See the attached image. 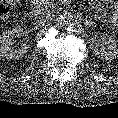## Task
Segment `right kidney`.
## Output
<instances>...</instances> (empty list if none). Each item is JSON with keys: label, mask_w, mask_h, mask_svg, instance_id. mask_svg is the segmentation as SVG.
<instances>
[{"label": "right kidney", "mask_w": 118, "mask_h": 118, "mask_svg": "<svg viewBox=\"0 0 118 118\" xmlns=\"http://www.w3.org/2000/svg\"><path fill=\"white\" fill-rule=\"evenodd\" d=\"M23 32V28L20 26H16L12 29L7 30L3 36H0V55L5 57L6 59H19L27 53L29 48L28 40H26L21 48L19 49H11V45L13 44L14 38L18 37Z\"/></svg>", "instance_id": "right-kidney-1"}]
</instances>
